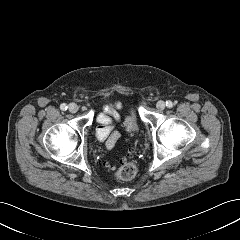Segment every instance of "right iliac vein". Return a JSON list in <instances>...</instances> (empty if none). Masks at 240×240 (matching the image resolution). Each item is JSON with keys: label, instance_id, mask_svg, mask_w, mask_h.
<instances>
[{"label": "right iliac vein", "instance_id": "1", "mask_svg": "<svg viewBox=\"0 0 240 240\" xmlns=\"http://www.w3.org/2000/svg\"><path fill=\"white\" fill-rule=\"evenodd\" d=\"M68 109L71 113H76L78 111V106L75 103H71L69 104Z\"/></svg>", "mask_w": 240, "mask_h": 240}]
</instances>
